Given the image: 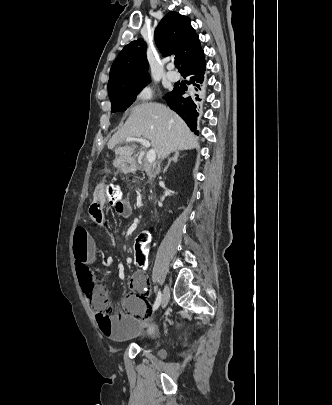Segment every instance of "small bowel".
<instances>
[{
	"mask_svg": "<svg viewBox=\"0 0 332 405\" xmlns=\"http://www.w3.org/2000/svg\"><path fill=\"white\" fill-rule=\"evenodd\" d=\"M121 167L123 170L131 171L137 168L136 161L133 157L127 156L121 158ZM103 181H108V176H103ZM107 185L99 183L95 191L93 202L88 208V217H92L97 224L104 223L105 199L108 197ZM115 212L123 217L128 218L132 214L131 199L122 197L119 202L114 204ZM137 222L134 221L133 225ZM73 257L75 271L78 278L79 292H97V277L93 274L91 264L96 256V245L84 227H77L73 236ZM124 261L127 265L133 262L130 256H126ZM114 259L108 260V265L112 266ZM131 294L124 300V307L127 311L125 314L111 315L110 311H95L94 323L99 326L100 331L109 339L120 341L137 336L143 328L142 318L148 313L149 306L147 300V280L143 272L135 273L129 283ZM92 299V296H89ZM153 327L148 328V332H153Z\"/></svg>",
	"mask_w": 332,
	"mask_h": 405,
	"instance_id": "small-bowel-1",
	"label": "small bowel"
}]
</instances>
